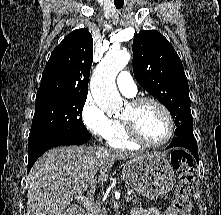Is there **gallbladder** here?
Instances as JSON below:
<instances>
[{"label":"gallbladder","mask_w":221,"mask_h":215,"mask_svg":"<svg viewBox=\"0 0 221 215\" xmlns=\"http://www.w3.org/2000/svg\"><path fill=\"white\" fill-rule=\"evenodd\" d=\"M81 212V209L75 205L68 208V215H82Z\"/></svg>","instance_id":"1"}]
</instances>
